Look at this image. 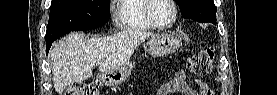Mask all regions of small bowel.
I'll use <instances>...</instances> for the list:
<instances>
[{
	"mask_svg": "<svg viewBox=\"0 0 277 95\" xmlns=\"http://www.w3.org/2000/svg\"><path fill=\"white\" fill-rule=\"evenodd\" d=\"M187 74L184 71L175 72L173 78L163 84L157 95L184 94V95H213L211 87L204 84L201 80L194 79L192 86L186 81Z\"/></svg>",
	"mask_w": 277,
	"mask_h": 95,
	"instance_id": "1",
	"label": "small bowel"
}]
</instances>
